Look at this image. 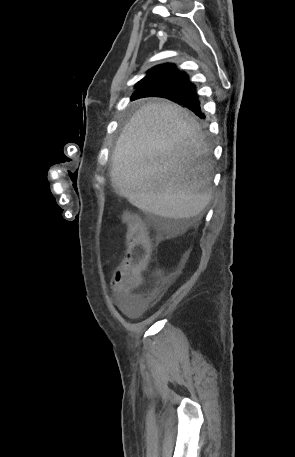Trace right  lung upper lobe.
I'll return each mask as SVG.
<instances>
[{
    "label": "right lung upper lobe",
    "mask_w": 295,
    "mask_h": 457,
    "mask_svg": "<svg viewBox=\"0 0 295 457\" xmlns=\"http://www.w3.org/2000/svg\"><path fill=\"white\" fill-rule=\"evenodd\" d=\"M180 73V71L174 69L173 64L158 65L150 69L147 76L139 81L135 87L141 89L151 85L169 82L179 76Z\"/></svg>",
    "instance_id": "1"
}]
</instances>
